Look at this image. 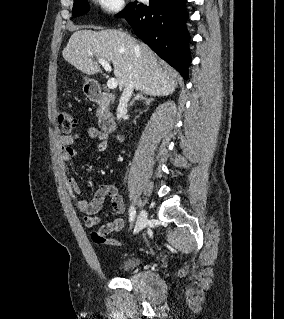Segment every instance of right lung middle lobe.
Instances as JSON below:
<instances>
[{"mask_svg":"<svg viewBox=\"0 0 284 319\" xmlns=\"http://www.w3.org/2000/svg\"><path fill=\"white\" fill-rule=\"evenodd\" d=\"M89 11L87 0H74L72 15L78 16Z\"/></svg>","mask_w":284,"mask_h":319,"instance_id":"obj_1","label":"right lung middle lobe"}]
</instances>
